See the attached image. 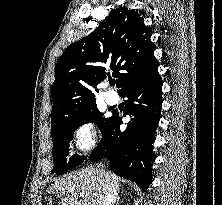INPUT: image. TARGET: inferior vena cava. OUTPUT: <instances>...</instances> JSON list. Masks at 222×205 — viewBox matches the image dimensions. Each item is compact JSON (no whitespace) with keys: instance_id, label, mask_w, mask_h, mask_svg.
<instances>
[{"instance_id":"602c4592","label":"inferior vena cava","mask_w":222,"mask_h":205,"mask_svg":"<svg viewBox=\"0 0 222 205\" xmlns=\"http://www.w3.org/2000/svg\"><path fill=\"white\" fill-rule=\"evenodd\" d=\"M100 172L105 175L106 170L104 167L100 169ZM117 197L116 187L113 183L106 181L103 193L100 197V205H114Z\"/></svg>"}]
</instances>
